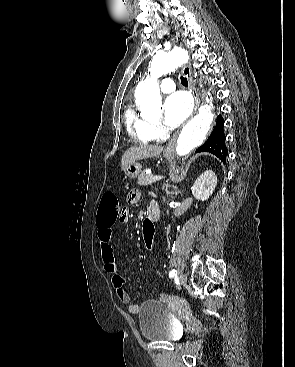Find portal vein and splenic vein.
I'll return each mask as SVG.
<instances>
[{"instance_id":"18ae733b","label":"portal vein and splenic vein","mask_w":295,"mask_h":367,"mask_svg":"<svg viewBox=\"0 0 295 367\" xmlns=\"http://www.w3.org/2000/svg\"><path fill=\"white\" fill-rule=\"evenodd\" d=\"M161 178H163V177L162 176H152L150 178V181L154 182V181L160 180Z\"/></svg>"}]
</instances>
